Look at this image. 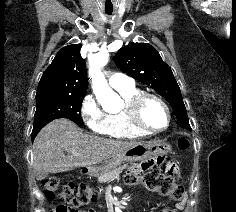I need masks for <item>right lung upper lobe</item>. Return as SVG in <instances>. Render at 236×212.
<instances>
[{"instance_id":"obj_1","label":"right lung upper lobe","mask_w":236,"mask_h":212,"mask_svg":"<svg viewBox=\"0 0 236 212\" xmlns=\"http://www.w3.org/2000/svg\"><path fill=\"white\" fill-rule=\"evenodd\" d=\"M81 44L63 47L44 71L36 98L48 95L86 94L87 72L80 56Z\"/></svg>"}]
</instances>
